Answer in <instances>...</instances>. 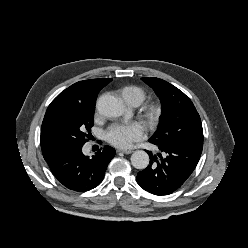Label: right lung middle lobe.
<instances>
[{
	"label": "right lung middle lobe",
	"mask_w": 248,
	"mask_h": 248,
	"mask_svg": "<svg viewBox=\"0 0 248 248\" xmlns=\"http://www.w3.org/2000/svg\"><path fill=\"white\" fill-rule=\"evenodd\" d=\"M94 106L63 105L44 122L47 138L57 147L66 148L88 141L93 126Z\"/></svg>",
	"instance_id": "dd1d6c3e"
}]
</instances>
